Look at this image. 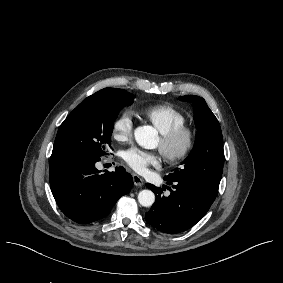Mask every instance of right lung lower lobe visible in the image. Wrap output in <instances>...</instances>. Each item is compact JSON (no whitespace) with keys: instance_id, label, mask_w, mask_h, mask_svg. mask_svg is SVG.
<instances>
[{"instance_id":"1","label":"right lung lower lobe","mask_w":283,"mask_h":283,"mask_svg":"<svg viewBox=\"0 0 283 283\" xmlns=\"http://www.w3.org/2000/svg\"><path fill=\"white\" fill-rule=\"evenodd\" d=\"M100 157H77L50 164V187L61 211L77 223L107 216L118 199L129 193L132 176L123 167L99 174Z\"/></svg>"}]
</instances>
